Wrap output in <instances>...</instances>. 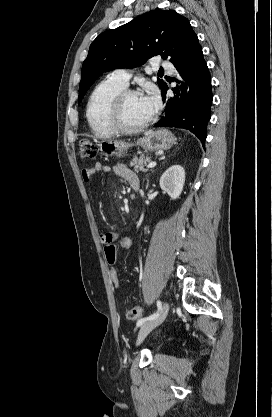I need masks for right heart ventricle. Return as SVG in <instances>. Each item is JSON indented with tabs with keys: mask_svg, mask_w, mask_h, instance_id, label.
<instances>
[{
	"mask_svg": "<svg viewBox=\"0 0 272 417\" xmlns=\"http://www.w3.org/2000/svg\"><path fill=\"white\" fill-rule=\"evenodd\" d=\"M126 87L107 77L91 92L87 106L86 118L93 133L100 138H109L116 131L109 123V109L113 99Z\"/></svg>",
	"mask_w": 272,
	"mask_h": 417,
	"instance_id": "e07e8e85",
	"label": "right heart ventricle"
}]
</instances>
